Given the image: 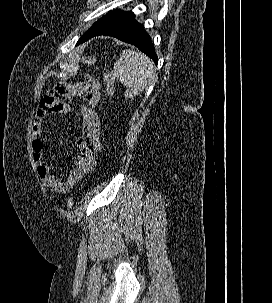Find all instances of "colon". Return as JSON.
Returning <instances> with one entry per match:
<instances>
[{
  "mask_svg": "<svg viewBox=\"0 0 272 303\" xmlns=\"http://www.w3.org/2000/svg\"><path fill=\"white\" fill-rule=\"evenodd\" d=\"M84 61L88 64H92L94 62V58L87 56L84 58ZM104 81L106 84V96L110 97L112 95L113 88H114V79H113L111 72L107 71L104 74ZM66 205H67V207L71 208L74 205V200L71 197H69L67 199Z\"/></svg>",
  "mask_w": 272,
  "mask_h": 303,
  "instance_id": "1",
  "label": "colon"
}]
</instances>
